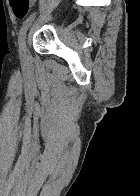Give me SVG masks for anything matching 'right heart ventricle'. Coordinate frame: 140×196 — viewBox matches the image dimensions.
Listing matches in <instances>:
<instances>
[{
  "mask_svg": "<svg viewBox=\"0 0 140 196\" xmlns=\"http://www.w3.org/2000/svg\"><path fill=\"white\" fill-rule=\"evenodd\" d=\"M23 192H37V191H23Z\"/></svg>",
  "mask_w": 140,
  "mask_h": 196,
  "instance_id": "1",
  "label": "right heart ventricle"
}]
</instances>
